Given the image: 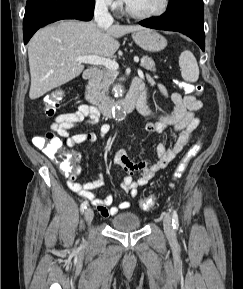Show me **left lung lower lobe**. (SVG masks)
Listing matches in <instances>:
<instances>
[{
    "mask_svg": "<svg viewBox=\"0 0 243 289\" xmlns=\"http://www.w3.org/2000/svg\"><path fill=\"white\" fill-rule=\"evenodd\" d=\"M204 10L202 0H170L164 14L140 21L145 27L181 32L205 50Z\"/></svg>",
    "mask_w": 243,
    "mask_h": 289,
    "instance_id": "left-lung-lower-lobe-1",
    "label": "left lung lower lobe"
}]
</instances>
